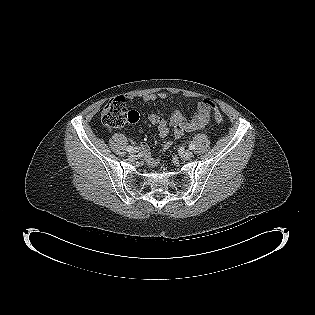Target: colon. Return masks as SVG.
Returning a JSON list of instances; mask_svg holds the SVG:
<instances>
[{"label":"colon","instance_id":"1","mask_svg":"<svg viewBox=\"0 0 315 315\" xmlns=\"http://www.w3.org/2000/svg\"><path fill=\"white\" fill-rule=\"evenodd\" d=\"M203 102L210 108L214 120L222 123L223 116L216 107L209 101ZM137 120L138 114L127 109L125 99L122 97L111 100L102 111V122L109 128H120L127 123H135Z\"/></svg>","mask_w":315,"mask_h":315}]
</instances>
